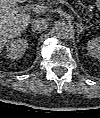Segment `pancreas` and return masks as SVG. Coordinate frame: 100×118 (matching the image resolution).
<instances>
[{
    "label": "pancreas",
    "mask_w": 100,
    "mask_h": 118,
    "mask_svg": "<svg viewBox=\"0 0 100 118\" xmlns=\"http://www.w3.org/2000/svg\"><path fill=\"white\" fill-rule=\"evenodd\" d=\"M49 2H51L52 4H55L56 2H58L59 0H48Z\"/></svg>",
    "instance_id": "pancreas-1"
}]
</instances>
